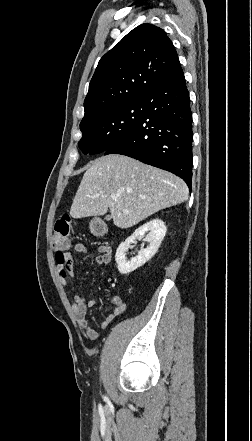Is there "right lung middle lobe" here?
Returning <instances> with one entry per match:
<instances>
[{"instance_id": "right-lung-middle-lobe-1", "label": "right lung middle lobe", "mask_w": 252, "mask_h": 441, "mask_svg": "<svg viewBox=\"0 0 252 441\" xmlns=\"http://www.w3.org/2000/svg\"><path fill=\"white\" fill-rule=\"evenodd\" d=\"M141 99L101 111L80 123L82 139L79 148L84 154L105 152L124 138L140 121Z\"/></svg>"}]
</instances>
